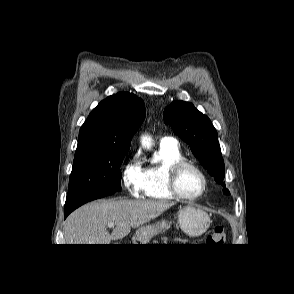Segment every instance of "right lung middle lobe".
I'll use <instances>...</instances> for the list:
<instances>
[{"label":"right lung middle lobe","instance_id":"obj_1","mask_svg":"<svg viewBox=\"0 0 294 294\" xmlns=\"http://www.w3.org/2000/svg\"><path fill=\"white\" fill-rule=\"evenodd\" d=\"M128 148H77L65 207L85 199L121 191L120 166Z\"/></svg>","mask_w":294,"mask_h":294}]
</instances>
